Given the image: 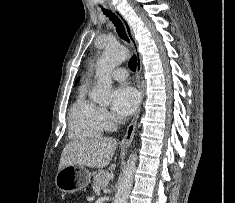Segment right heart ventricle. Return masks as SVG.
I'll return each instance as SVG.
<instances>
[{
  "label": "right heart ventricle",
  "instance_id": "obj_1",
  "mask_svg": "<svg viewBox=\"0 0 235 203\" xmlns=\"http://www.w3.org/2000/svg\"><path fill=\"white\" fill-rule=\"evenodd\" d=\"M104 131L99 107L87 98L86 88H81L69 112L70 136L74 139H92L102 136Z\"/></svg>",
  "mask_w": 235,
  "mask_h": 203
}]
</instances>
